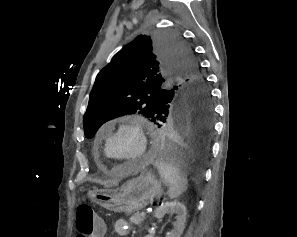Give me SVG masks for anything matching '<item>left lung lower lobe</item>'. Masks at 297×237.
Instances as JSON below:
<instances>
[{"label": "left lung lower lobe", "mask_w": 297, "mask_h": 237, "mask_svg": "<svg viewBox=\"0 0 297 237\" xmlns=\"http://www.w3.org/2000/svg\"><path fill=\"white\" fill-rule=\"evenodd\" d=\"M160 120L166 124L150 150L151 155L181 166H200L208 156L213 132L211 100L174 104Z\"/></svg>", "instance_id": "left-lung-lower-lobe-1"}]
</instances>
